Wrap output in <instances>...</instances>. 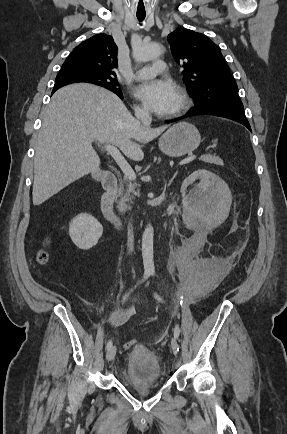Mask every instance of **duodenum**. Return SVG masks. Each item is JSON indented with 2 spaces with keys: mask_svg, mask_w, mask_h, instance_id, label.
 Here are the masks:
<instances>
[{
  "mask_svg": "<svg viewBox=\"0 0 287 434\" xmlns=\"http://www.w3.org/2000/svg\"><path fill=\"white\" fill-rule=\"evenodd\" d=\"M99 180L105 188L101 199V212L104 218L117 229L123 228V221L115 214L113 205L118 193L117 178L112 172L99 175Z\"/></svg>",
  "mask_w": 287,
  "mask_h": 434,
  "instance_id": "obj_1",
  "label": "duodenum"
}]
</instances>
